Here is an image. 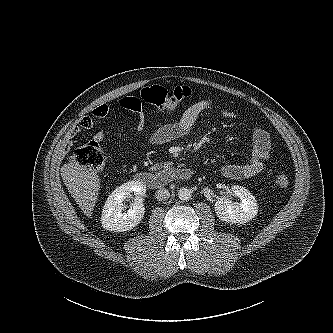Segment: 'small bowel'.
I'll return each instance as SVG.
<instances>
[{
    "mask_svg": "<svg viewBox=\"0 0 333 333\" xmlns=\"http://www.w3.org/2000/svg\"><path fill=\"white\" fill-rule=\"evenodd\" d=\"M119 105L136 114V129H142L144 125V113L141 100L138 97H125L119 101ZM109 106L102 104L93 109L91 115L82 118L79 124L73 126L64 138V146L69 148L73 145L75 138L86 129L92 128L97 122L109 114ZM214 110L220 117L226 119H237L238 115L227 109L216 108V103L211 98L201 99L189 106L175 122L158 121L148 136L151 145H161L187 135L194 128L200 115L207 111ZM106 132L100 130L95 133L94 140L101 142L105 139ZM253 149L251 159L245 163L226 164L221 168V174L229 179L250 178L260 173L264 163L271 152V140L269 133L260 127L252 130Z\"/></svg>",
    "mask_w": 333,
    "mask_h": 333,
    "instance_id": "obj_1",
    "label": "small bowel"
}]
</instances>
